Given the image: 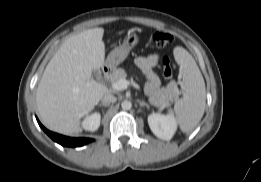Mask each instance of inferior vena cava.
Segmentation results:
<instances>
[{
    "instance_id": "602c4592",
    "label": "inferior vena cava",
    "mask_w": 261,
    "mask_h": 182,
    "mask_svg": "<svg viewBox=\"0 0 261 182\" xmlns=\"http://www.w3.org/2000/svg\"><path fill=\"white\" fill-rule=\"evenodd\" d=\"M116 101V97L110 93L108 94H105L102 98H101V102L103 104H111V103H114Z\"/></svg>"
}]
</instances>
